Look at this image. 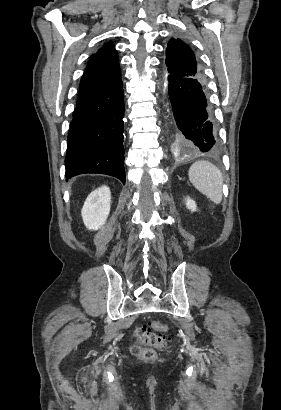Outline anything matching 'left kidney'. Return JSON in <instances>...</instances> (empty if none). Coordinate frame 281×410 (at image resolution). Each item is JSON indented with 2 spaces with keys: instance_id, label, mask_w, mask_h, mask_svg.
<instances>
[{
  "instance_id": "5707ae66",
  "label": "left kidney",
  "mask_w": 281,
  "mask_h": 410,
  "mask_svg": "<svg viewBox=\"0 0 281 410\" xmlns=\"http://www.w3.org/2000/svg\"><path fill=\"white\" fill-rule=\"evenodd\" d=\"M186 207L190 209L192 212L196 211L197 208L195 201H193L189 197L186 199Z\"/></svg>"
}]
</instances>
